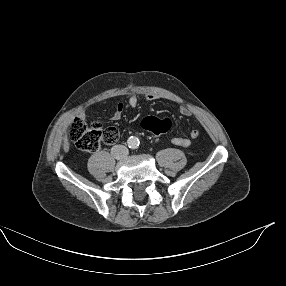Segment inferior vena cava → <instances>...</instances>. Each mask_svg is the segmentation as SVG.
<instances>
[{
    "instance_id": "obj_1",
    "label": "inferior vena cava",
    "mask_w": 286,
    "mask_h": 286,
    "mask_svg": "<svg viewBox=\"0 0 286 286\" xmlns=\"http://www.w3.org/2000/svg\"><path fill=\"white\" fill-rule=\"evenodd\" d=\"M111 154L117 160H122L128 156L129 151H128V148L125 147L124 145H115L111 149Z\"/></svg>"
}]
</instances>
